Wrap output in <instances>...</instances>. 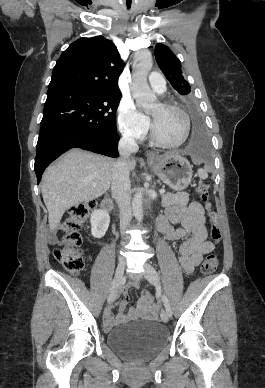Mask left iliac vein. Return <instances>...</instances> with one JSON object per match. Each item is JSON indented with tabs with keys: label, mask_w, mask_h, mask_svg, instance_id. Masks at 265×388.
Masks as SVG:
<instances>
[{
	"label": "left iliac vein",
	"mask_w": 265,
	"mask_h": 388,
	"mask_svg": "<svg viewBox=\"0 0 265 388\" xmlns=\"http://www.w3.org/2000/svg\"><path fill=\"white\" fill-rule=\"evenodd\" d=\"M144 276L146 279L155 287L161 288L160 280L157 271L154 269L152 265L149 263H145L144 265ZM161 319L164 323H167L169 321V315L165 309L161 311Z\"/></svg>",
	"instance_id": "left-iliac-vein-1"
}]
</instances>
